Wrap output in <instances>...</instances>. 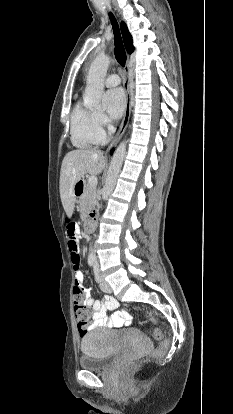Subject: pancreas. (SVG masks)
Instances as JSON below:
<instances>
[{
	"mask_svg": "<svg viewBox=\"0 0 233 414\" xmlns=\"http://www.w3.org/2000/svg\"><path fill=\"white\" fill-rule=\"evenodd\" d=\"M96 203V187L85 182L83 195L79 199L81 217H86Z\"/></svg>",
	"mask_w": 233,
	"mask_h": 414,
	"instance_id": "1",
	"label": "pancreas"
}]
</instances>
